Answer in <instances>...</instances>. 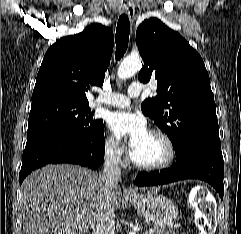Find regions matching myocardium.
Instances as JSON below:
<instances>
[{
    "label": "myocardium",
    "instance_id": "f54148a6",
    "mask_svg": "<svg viewBox=\"0 0 241 234\" xmlns=\"http://www.w3.org/2000/svg\"><path fill=\"white\" fill-rule=\"evenodd\" d=\"M150 134H153L155 136H158L164 143L165 147H166V156L165 158L159 162V163H155V164H146V163H141L138 162L132 155V153H130L129 155V160L131 162V164L140 169V170H144V171H158V170H163L167 167H169L175 157H176V149H175V145L172 141V139L170 138V136L164 132L163 130L159 129V128H154L151 129L149 131Z\"/></svg>",
    "mask_w": 241,
    "mask_h": 234
}]
</instances>
